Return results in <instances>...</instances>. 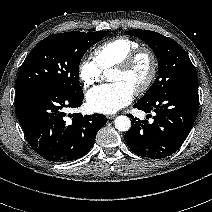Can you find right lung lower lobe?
<instances>
[{
  "instance_id": "obj_1",
  "label": "right lung lower lobe",
  "mask_w": 212,
  "mask_h": 212,
  "mask_svg": "<svg viewBox=\"0 0 212 212\" xmlns=\"http://www.w3.org/2000/svg\"><path fill=\"white\" fill-rule=\"evenodd\" d=\"M84 95L71 96L49 86L16 89L15 113L30 146L52 162L76 160L88 153L97 132L105 125V115H69L65 108L81 106Z\"/></svg>"
}]
</instances>
